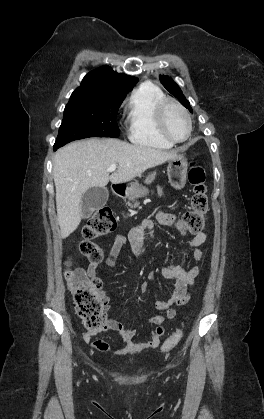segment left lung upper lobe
<instances>
[{
  "mask_svg": "<svg viewBox=\"0 0 264 419\" xmlns=\"http://www.w3.org/2000/svg\"><path fill=\"white\" fill-rule=\"evenodd\" d=\"M160 81L171 94H173L187 109H189L190 112H192L189 101L186 100L181 89L174 81H172L168 76H160Z\"/></svg>",
  "mask_w": 264,
  "mask_h": 419,
  "instance_id": "obj_1",
  "label": "left lung upper lobe"
}]
</instances>
